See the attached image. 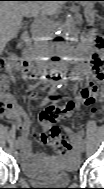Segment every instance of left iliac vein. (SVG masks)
I'll return each instance as SVG.
<instances>
[{
	"label": "left iliac vein",
	"mask_w": 104,
	"mask_h": 189,
	"mask_svg": "<svg viewBox=\"0 0 104 189\" xmlns=\"http://www.w3.org/2000/svg\"><path fill=\"white\" fill-rule=\"evenodd\" d=\"M79 151H80L81 153H83V152L85 151V146H84V144L80 145Z\"/></svg>",
	"instance_id": "left-iliac-vein-1"
}]
</instances>
